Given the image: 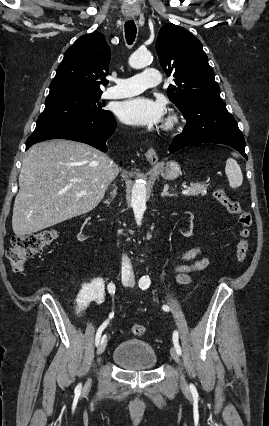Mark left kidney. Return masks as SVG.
I'll use <instances>...</instances> for the list:
<instances>
[{
    "mask_svg": "<svg viewBox=\"0 0 269 426\" xmlns=\"http://www.w3.org/2000/svg\"><path fill=\"white\" fill-rule=\"evenodd\" d=\"M189 215H190V217H189V220H188V222H189V226H188V228L186 229V228H183L182 230H181V234L183 235V236H185V237H190L191 235H192V231H193V218H194V216H193V214L192 213H188Z\"/></svg>",
    "mask_w": 269,
    "mask_h": 426,
    "instance_id": "obj_1",
    "label": "left kidney"
}]
</instances>
